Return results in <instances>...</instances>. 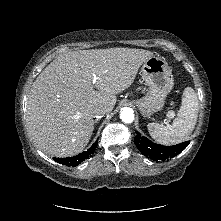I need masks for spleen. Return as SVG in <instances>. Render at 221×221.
I'll list each match as a JSON object with an SVG mask.
<instances>
[{"instance_id": "spleen-1", "label": "spleen", "mask_w": 221, "mask_h": 221, "mask_svg": "<svg viewBox=\"0 0 221 221\" xmlns=\"http://www.w3.org/2000/svg\"><path fill=\"white\" fill-rule=\"evenodd\" d=\"M199 103L193 88H185L178 117L172 124L149 123V134L158 143L178 144L186 140L195 128Z\"/></svg>"}]
</instances>
